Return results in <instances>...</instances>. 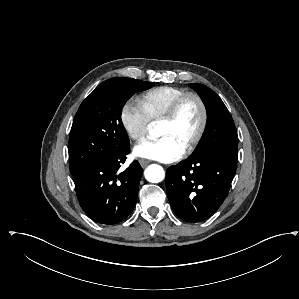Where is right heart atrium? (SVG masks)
<instances>
[{
	"label": "right heart atrium",
	"mask_w": 299,
	"mask_h": 299,
	"mask_svg": "<svg viewBox=\"0 0 299 299\" xmlns=\"http://www.w3.org/2000/svg\"><path fill=\"white\" fill-rule=\"evenodd\" d=\"M120 121L128 137L134 141L142 140L148 133L150 120L141 107L134 101L124 103L120 112Z\"/></svg>",
	"instance_id": "right-heart-atrium-1"
}]
</instances>
